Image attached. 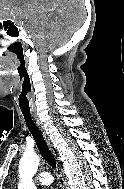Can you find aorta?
<instances>
[{"label": "aorta", "mask_w": 124, "mask_h": 189, "mask_svg": "<svg viewBox=\"0 0 124 189\" xmlns=\"http://www.w3.org/2000/svg\"><path fill=\"white\" fill-rule=\"evenodd\" d=\"M40 159L36 154H24L19 164L20 183L18 189H37L32 178L39 166Z\"/></svg>", "instance_id": "762f6f07"}]
</instances>
